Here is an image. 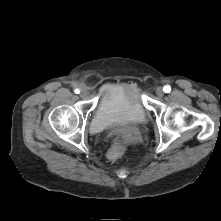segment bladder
<instances>
[{
	"mask_svg": "<svg viewBox=\"0 0 221 221\" xmlns=\"http://www.w3.org/2000/svg\"><path fill=\"white\" fill-rule=\"evenodd\" d=\"M146 118V110L135 87L109 85L100 94L90 129L99 133L116 125L142 124Z\"/></svg>",
	"mask_w": 221,
	"mask_h": 221,
	"instance_id": "1",
	"label": "bladder"
}]
</instances>
